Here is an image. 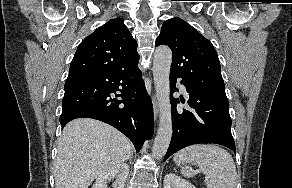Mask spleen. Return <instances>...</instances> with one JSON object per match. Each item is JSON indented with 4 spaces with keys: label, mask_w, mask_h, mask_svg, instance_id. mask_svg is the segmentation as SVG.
Masks as SVG:
<instances>
[{
    "label": "spleen",
    "mask_w": 292,
    "mask_h": 188,
    "mask_svg": "<svg viewBox=\"0 0 292 188\" xmlns=\"http://www.w3.org/2000/svg\"><path fill=\"white\" fill-rule=\"evenodd\" d=\"M174 161L178 166L196 163L206 176L207 188H236L237 173L232 156L223 148L213 144H197L175 153ZM186 177L195 174L181 169Z\"/></svg>",
    "instance_id": "spleen-1"
}]
</instances>
